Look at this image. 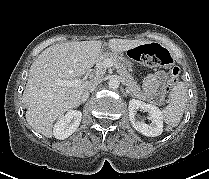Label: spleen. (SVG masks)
Instances as JSON below:
<instances>
[{
  "mask_svg": "<svg viewBox=\"0 0 209 179\" xmlns=\"http://www.w3.org/2000/svg\"><path fill=\"white\" fill-rule=\"evenodd\" d=\"M170 103L162 110L165 123L170 127L177 126L185 110L188 94L183 82H178L170 92Z\"/></svg>",
  "mask_w": 209,
  "mask_h": 179,
  "instance_id": "1",
  "label": "spleen"
}]
</instances>
